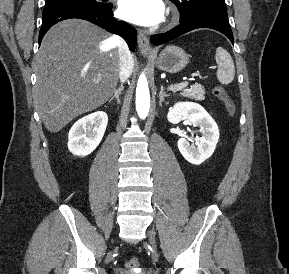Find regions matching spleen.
Masks as SVG:
<instances>
[{"mask_svg": "<svg viewBox=\"0 0 289 274\" xmlns=\"http://www.w3.org/2000/svg\"><path fill=\"white\" fill-rule=\"evenodd\" d=\"M215 59L218 65V81L223 85L230 84L235 76V67L230 54L222 47H218L216 49Z\"/></svg>", "mask_w": 289, "mask_h": 274, "instance_id": "1", "label": "spleen"}]
</instances>
